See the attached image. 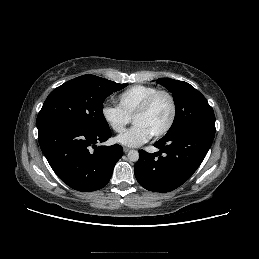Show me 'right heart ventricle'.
Returning a JSON list of instances; mask_svg holds the SVG:
<instances>
[{"label": "right heart ventricle", "mask_w": 259, "mask_h": 259, "mask_svg": "<svg viewBox=\"0 0 259 259\" xmlns=\"http://www.w3.org/2000/svg\"><path fill=\"white\" fill-rule=\"evenodd\" d=\"M159 89L152 85H134L117 96L120 110L128 117H133L142 103Z\"/></svg>", "instance_id": "right-heart-ventricle-1"}]
</instances>
